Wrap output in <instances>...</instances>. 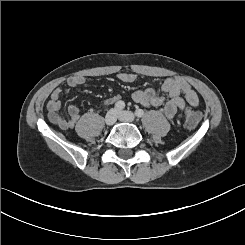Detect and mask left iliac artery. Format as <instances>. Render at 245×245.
I'll use <instances>...</instances> for the list:
<instances>
[{"instance_id": "left-iliac-artery-1", "label": "left iliac artery", "mask_w": 245, "mask_h": 245, "mask_svg": "<svg viewBox=\"0 0 245 245\" xmlns=\"http://www.w3.org/2000/svg\"><path fill=\"white\" fill-rule=\"evenodd\" d=\"M135 115L137 116V117H143L144 116V111L142 110V109H140V108H138V109H136V111H135Z\"/></svg>"}]
</instances>
